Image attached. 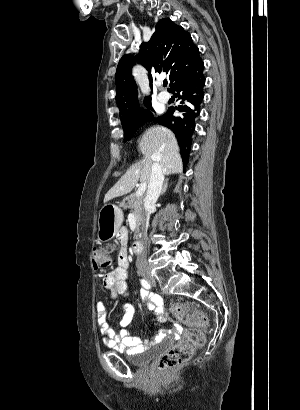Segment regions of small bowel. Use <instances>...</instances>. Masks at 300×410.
Segmentation results:
<instances>
[{
  "label": "small bowel",
  "mask_w": 300,
  "mask_h": 410,
  "mask_svg": "<svg viewBox=\"0 0 300 410\" xmlns=\"http://www.w3.org/2000/svg\"><path fill=\"white\" fill-rule=\"evenodd\" d=\"M118 238L121 243V249L118 253V265L111 272L102 276V285L105 289L111 291L114 299L118 296L128 299L130 292L127 284L129 266V256L126 247L127 235L125 232H121ZM140 296L154 320L161 323L167 321V315L162 307V298L159 295L141 290ZM96 310L102 341L109 348L126 353H138L148 345L159 342L167 334L166 330H160L154 336L145 340L133 336L128 326L132 320L134 308L129 302H126L122 307V317L119 321L120 329L117 332L110 328L107 323V305L102 301H98L96 303Z\"/></svg>",
  "instance_id": "1"
}]
</instances>
